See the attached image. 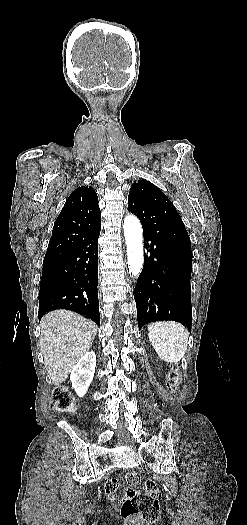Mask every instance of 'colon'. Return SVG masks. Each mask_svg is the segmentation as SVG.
<instances>
[{
	"label": "colon",
	"mask_w": 247,
	"mask_h": 525,
	"mask_svg": "<svg viewBox=\"0 0 247 525\" xmlns=\"http://www.w3.org/2000/svg\"><path fill=\"white\" fill-rule=\"evenodd\" d=\"M169 390H175L179 383V365L172 364L166 379ZM52 406L61 413H73L75 404L72 395L59 384L52 393ZM126 483L133 487L122 497L121 515L126 519H135L147 524H154L160 516L159 502L161 491L154 481H142L139 473L130 471L125 476Z\"/></svg>",
	"instance_id": "obj_1"
}]
</instances>
